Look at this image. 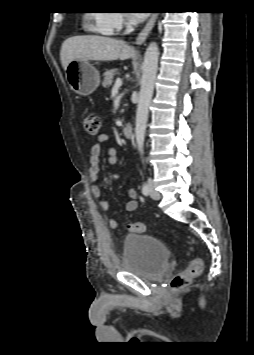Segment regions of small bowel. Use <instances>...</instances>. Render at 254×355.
I'll return each instance as SVG.
<instances>
[{"label":"small bowel","instance_id":"c3829d8e","mask_svg":"<svg viewBox=\"0 0 254 355\" xmlns=\"http://www.w3.org/2000/svg\"><path fill=\"white\" fill-rule=\"evenodd\" d=\"M107 145V161L110 165H113L117 161L116 149L110 144V137L108 134L102 133L97 137L96 142L92 145L90 149V167H89V179L92 183L91 193L94 197L100 198L102 196L101 188L96 184L99 178L100 171V156L103 151V146ZM129 200L125 204V209L128 212H133L138 207L137 197L138 193L135 188H130L128 190ZM101 206L103 209L107 210L109 208V203L106 200L101 201ZM108 226L110 229L115 230L119 227V222L111 218L108 221Z\"/></svg>","mask_w":254,"mask_h":355}]
</instances>
